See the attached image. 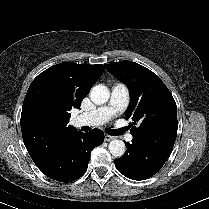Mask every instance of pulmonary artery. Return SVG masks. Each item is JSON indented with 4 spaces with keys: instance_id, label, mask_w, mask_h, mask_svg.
Here are the masks:
<instances>
[{
    "instance_id": "e3ab8cb5",
    "label": "pulmonary artery",
    "mask_w": 209,
    "mask_h": 209,
    "mask_svg": "<svg viewBox=\"0 0 209 209\" xmlns=\"http://www.w3.org/2000/svg\"><path fill=\"white\" fill-rule=\"evenodd\" d=\"M128 102V88L122 83H117L112 88L110 100L107 105L99 107L93 112L80 114L77 118V122L79 124L91 126L104 124L120 112L124 111L128 105ZM132 139L133 136L131 134L126 136L127 141H132Z\"/></svg>"
}]
</instances>
